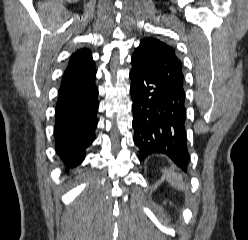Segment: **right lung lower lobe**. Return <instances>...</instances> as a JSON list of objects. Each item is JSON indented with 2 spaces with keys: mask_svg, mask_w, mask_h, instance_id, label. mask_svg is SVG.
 Here are the masks:
<instances>
[{
  "mask_svg": "<svg viewBox=\"0 0 248 240\" xmlns=\"http://www.w3.org/2000/svg\"><path fill=\"white\" fill-rule=\"evenodd\" d=\"M96 69L61 83L55 108V149L67 167L79 165L95 139L98 112Z\"/></svg>",
  "mask_w": 248,
  "mask_h": 240,
  "instance_id": "obj_1",
  "label": "right lung lower lobe"
}]
</instances>
